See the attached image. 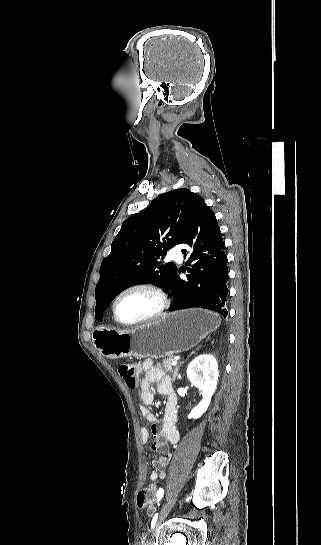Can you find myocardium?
I'll list each match as a JSON object with an SVG mask.
<instances>
[{"label":"myocardium","instance_id":"obj_1","mask_svg":"<svg viewBox=\"0 0 321 545\" xmlns=\"http://www.w3.org/2000/svg\"><path fill=\"white\" fill-rule=\"evenodd\" d=\"M135 290H145V291H149L151 293H153L154 295L157 296V298L159 299V306L157 308V310L149 315L148 317L144 318V319H141L139 321H136V322H132V323H127V322H124L123 320H121V318L119 317L118 315V312H117V305H118V302L120 300V298L125 295L126 293L128 292H131V291H135ZM171 307V299H170V296L168 294V292H166L162 287L156 285V284H152V283H137V284H133V285H130L124 289H122L115 297L114 299V302H113V316L116 320V322L124 327H131V328H135V327H139V326H142V325H145V324H148V323H151V322H154L158 319H160Z\"/></svg>","mask_w":321,"mask_h":545}]
</instances>
